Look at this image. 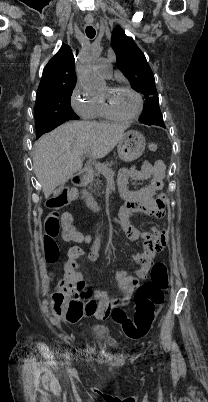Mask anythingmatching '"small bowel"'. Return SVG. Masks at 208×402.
I'll return each mask as SVG.
<instances>
[{"instance_id": "small-bowel-1", "label": "small bowel", "mask_w": 208, "mask_h": 402, "mask_svg": "<svg viewBox=\"0 0 208 402\" xmlns=\"http://www.w3.org/2000/svg\"><path fill=\"white\" fill-rule=\"evenodd\" d=\"M165 171L166 167L162 160H157L154 163L146 160L141 164L140 168H123L119 171L117 187L120 196L125 201V205L120 210V217L122 220L121 227L129 239L137 240L142 238L144 241V250L138 253L135 257V260L139 265L135 275H129L124 271H120L116 274L117 286L121 290L123 297L109 300L105 292L93 291L87 287L85 277L80 271L79 264L77 267H68L65 263V277L62 280L71 281V294L67 296H76L82 299L96 298L112 305H123L133 289L137 286L139 280L146 278L155 253L162 250L166 245L167 231L164 227L161 229L153 227L151 232H141L130 225L129 218L136 213H145L157 218H162L164 216L167 201L166 196L165 194H159L157 197L155 196L163 187ZM130 181H148V184L141 189L130 190L128 188V183ZM90 240V237L87 235L69 237L70 243L87 244ZM98 249L99 243H96L94 246V252L89 254L91 259L97 257L96 252ZM94 317L99 318V321L106 318L104 314H96ZM81 321L82 318L80 315H71L69 318H66L62 327L65 330H75L80 327Z\"/></svg>"}]
</instances>
